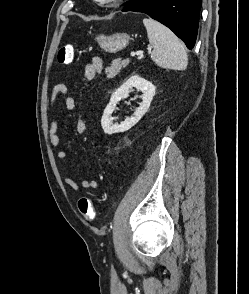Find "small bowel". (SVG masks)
Returning a JSON list of instances; mask_svg holds the SVG:
<instances>
[{
    "instance_id": "small-bowel-1",
    "label": "small bowel",
    "mask_w": 249,
    "mask_h": 294,
    "mask_svg": "<svg viewBox=\"0 0 249 294\" xmlns=\"http://www.w3.org/2000/svg\"><path fill=\"white\" fill-rule=\"evenodd\" d=\"M104 68L103 60L100 57H93L91 61L84 66V76L88 81L94 80L99 74L102 73ZM68 87L65 83H60L56 85L49 98V107L53 108L61 98H64L65 107L67 110L72 111L76 107V100L73 96L67 95ZM88 125L85 120L78 119L76 121V131L79 134H84L87 132ZM49 140L52 146L57 147L60 145L61 139L59 134V123L57 118H53L50 123L49 128ZM57 158L60 161H66L68 156L64 150H59L57 152ZM63 182L71 188L73 191H79L83 189H96L99 183L95 179H82L77 182L72 177L64 174L62 176Z\"/></svg>"
}]
</instances>
